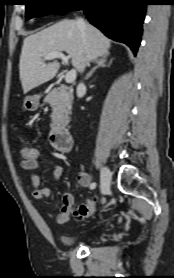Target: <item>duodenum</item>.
<instances>
[{
	"label": "duodenum",
	"instance_id": "1",
	"mask_svg": "<svg viewBox=\"0 0 174 278\" xmlns=\"http://www.w3.org/2000/svg\"><path fill=\"white\" fill-rule=\"evenodd\" d=\"M50 142L59 151L67 152L72 147V136L65 127H55L50 133Z\"/></svg>",
	"mask_w": 174,
	"mask_h": 278
}]
</instances>
